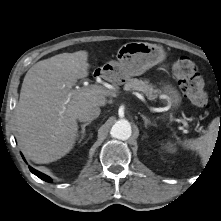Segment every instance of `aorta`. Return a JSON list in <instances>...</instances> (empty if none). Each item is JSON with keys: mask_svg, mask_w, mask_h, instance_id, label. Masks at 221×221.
Returning <instances> with one entry per match:
<instances>
[{"mask_svg": "<svg viewBox=\"0 0 221 221\" xmlns=\"http://www.w3.org/2000/svg\"><path fill=\"white\" fill-rule=\"evenodd\" d=\"M110 134L119 140H127L131 137L132 129L128 120L120 119L112 126Z\"/></svg>", "mask_w": 221, "mask_h": 221, "instance_id": "762f6f07", "label": "aorta"}]
</instances>
